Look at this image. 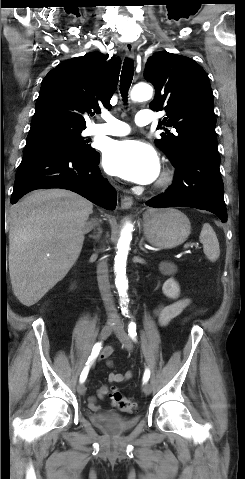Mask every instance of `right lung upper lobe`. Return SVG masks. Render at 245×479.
<instances>
[{"label": "right lung upper lobe", "instance_id": "obj_1", "mask_svg": "<svg viewBox=\"0 0 245 479\" xmlns=\"http://www.w3.org/2000/svg\"><path fill=\"white\" fill-rule=\"evenodd\" d=\"M99 52L66 60L51 70L42 81L31 128L63 125L85 129V115L111 109L121 62Z\"/></svg>", "mask_w": 245, "mask_h": 479}]
</instances>
